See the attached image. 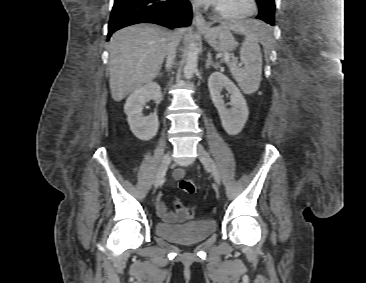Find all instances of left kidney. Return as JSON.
<instances>
[{"label":"left kidney","mask_w":366,"mask_h":283,"mask_svg":"<svg viewBox=\"0 0 366 283\" xmlns=\"http://www.w3.org/2000/svg\"><path fill=\"white\" fill-rule=\"evenodd\" d=\"M208 88L214 106L217 108L221 124L229 135L239 134L247 122L249 111L246 100L238 87L224 74L214 72L208 79ZM230 94V109L223 100L222 90Z\"/></svg>","instance_id":"1"}]
</instances>
